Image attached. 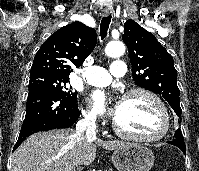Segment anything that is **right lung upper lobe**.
<instances>
[{
    "mask_svg": "<svg viewBox=\"0 0 199 171\" xmlns=\"http://www.w3.org/2000/svg\"><path fill=\"white\" fill-rule=\"evenodd\" d=\"M96 31L81 22L66 25L53 33L35 55L30 76L48 74L69 78L93 51Z\"/></svg>",
    "mask_w": 199,
    "mask_h": 171,
    "instance_id": "obj_1",
    "label": "right lung upper lobe"
}]
</instances>
